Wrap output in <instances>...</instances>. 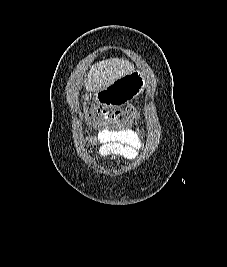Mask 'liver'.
I'll list each match as a JSON object with an SVG mask.
<instances>
[{
  "label": "liver",
  "mask_w": 227,
  "mask_h": 267,
  "mask_svg": "<svg viewBox=\"0 0 227 267\" xmlns=\"http://www.w3.org/2000/svg\"><path fill=\"white\" fill-rule=\"evenodd\" d=\"M134 66L123 59H107L93 65L85 79L87 91H99V87H109L115 77H124L131 73Z\"/></svg>",
  "instance_id": "6515ba94"
}]
</instances>
